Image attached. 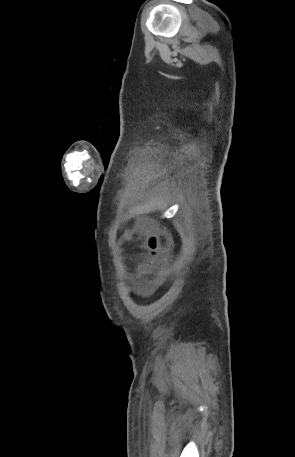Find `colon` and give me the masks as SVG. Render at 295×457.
<instances>
[{
    "instance_id": "5ec220e1",
    "label": "colon",
    "mask_w": 295,
    "mask_h": 457,
    "mask_svg": "<svg viewBox=\"0 0 295 457\" xmlns=\"http://www.w3.org/2000/svg\"><path fill=\"white\" fill-rule=\"evenodd\" d=\"M168 243V237L161 233H150L145 240V249L151 261H155L165 244Z\"/></svg>"
}]
</instances>
